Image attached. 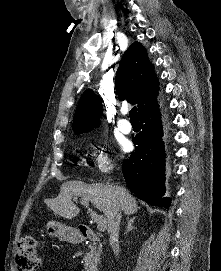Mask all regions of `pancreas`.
<instances>
[{"mask_svg": "<svg viewBox=\"0 0 221 271\" xmlns=\"http://www.w3.org/2000/svg\"><path fill=\"white\" fill-rule=\"evenodd\" d=\"M81 243L84 245L86 242L83 240ZM101 253V243H99V245H92V243H89L84 259L85 269H88V267H92V265H98L101 259Z\"/></svg>", "mask_w": 221, "mask_h": 271, "instance_id": "1", "label": "pancreas"}]
</instances>
